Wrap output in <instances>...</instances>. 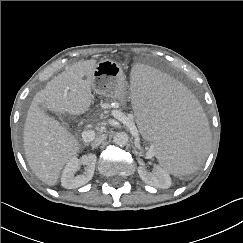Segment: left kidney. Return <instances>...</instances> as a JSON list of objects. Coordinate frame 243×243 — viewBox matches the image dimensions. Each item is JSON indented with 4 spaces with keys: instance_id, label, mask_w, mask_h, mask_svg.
I'll return each instance as SVG.
<instances>
[{
    "instance_id": "left-kidney-1",
    "label": "left kidney",
    "mask_w": 243,
    "mask_h": 243,
    "mask_svg": "<svg viewBox=\"0 0 243 243\" xmlns=\"http://www.w3.org/2000/svg\"><path fill=\"white\" fill-rule=\"evenodd\" d=\"M138 173L146 184L157 188H169L171 186V177L160 167H156L153 173L148 172L143 167H138Z\"/></svg>"
}]
</instances>
